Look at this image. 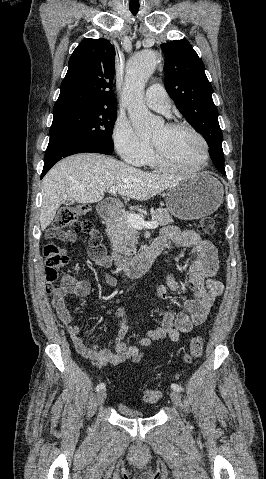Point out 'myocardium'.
Returning a JSON list of instances; mask_svg holds the SVG:
<instances>
[{"label":"myocardium","instance_id":"obj_1","mask_svg":"<svg viewBox=\"0 0 266 479\" xmlns=\"http://www.w3.org/2000/svg\"><path fill=\"white\" fill-rule=\"evenodd\" d=\"M165 127L169 130H186L191 132L199 140L202 146L203 155H202L201 162L197 166H194V167L175 166L166 162L161 156V154L159 153V151L156 149V147L152 144L153 159L157 167L167 172H179V173H189V174L203 171L207 167L209 158H210L209 146L204 136L193 126L189 124H185V123H169Z\"/></svg>","mask_w":266,"mask_h":479}]
</instances>
